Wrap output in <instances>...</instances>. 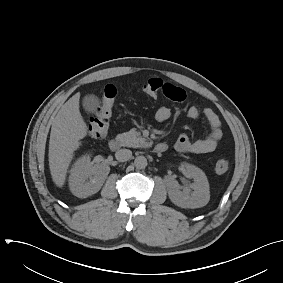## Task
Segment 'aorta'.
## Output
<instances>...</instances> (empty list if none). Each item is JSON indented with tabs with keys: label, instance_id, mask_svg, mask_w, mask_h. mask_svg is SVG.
<instances>
[{
	"label": "aorta",
	"instance_id": "aorta-1",
	"mask_svg": "<svg viewBox=\"0 0 283 283\" xmlns=\"http://www.w3.org/2000/svg\"><path fill=\"white\" fill-rule=\"evenodd\" d=\"M135 167L137 169H144L147 166V159L144 156H138L134 160Z\"/></svg>",
	"mask_w": 283,
	"mask_h": 283
}]
</instances>
